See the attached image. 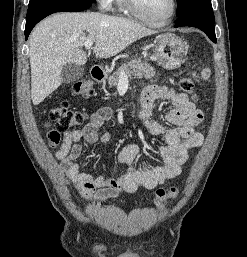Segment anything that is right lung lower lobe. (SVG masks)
I'll use <instances>...</instances> for the list:
<instances>
[{
    "label": "right lung lower lobe",
    "instance_id": "right-lung-lower-lobe-1",
    "mask_svg": "<svg viewBox=\"0 0 247 257\" xmlns=\"http://www.w3.org/2000/svg\"><path fill=\"white\" fill-rule=\"evenodd\" d=\"M92 5V2H78L70 0L46 1L28 6L25 28V39L33 27L46 16L55 12H79L86 10Z\"/></svg>",
    "mask_w": 247,
    "mask_h": 257
}]
</instances>
